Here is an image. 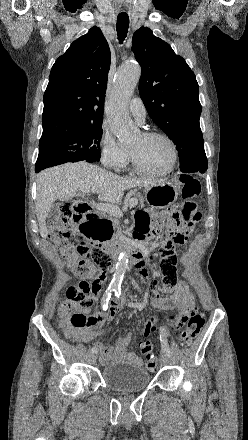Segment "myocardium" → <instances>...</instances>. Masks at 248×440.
Segmentation results:
<instances>
[{
    "label": "myocardium",
    "mask_w": 248,
    "mask_h": 440,
    "mask_svg": "<svg viewBox=\"0 0 248 440\" xmlns=\"http://www.w3.org/2000/svg\"><path fill=\"white\" fill-rule=\"evenodd\" d=\"M142 135L147 138L158 137V138L164 139L171 147L172 160H171L169 167L163 171H160V172L148 171V170L144 169L139 164L134 152L130 149V160H131V165H132L133 170L136 173L141 174L143 176H147V177H164V176L169 175L175 169L176 164L178 162V157H179L178 148H177L175 141L169 135H167L166 133H163L161 131H155V130L145 131L142 133Z\"/></svg>",
    "instance_id": "1"
}]
</instances>
